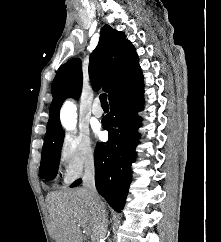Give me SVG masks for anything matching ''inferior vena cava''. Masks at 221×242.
I'll return each mask as SVG.
<instances>
[{
	"mask_svg": "<svg viewBox=\"0 0 221 242\" xmlns=\"http://www.w3.org/2000/svg\"><path fill=\"white\" fill-rule=\"evenodd\" d=\"M83 190L95 209L94 237L98 241L104 239L107 233V212L95 187L94 165H87L83 175Z\"/></svg>",
	"mask_w": 221,
	"mask_h": 242,
	"instance_id": "obj_1",
	"label": "inferior vena cava"
}]
</instances>
